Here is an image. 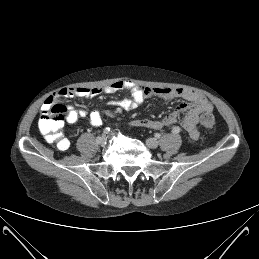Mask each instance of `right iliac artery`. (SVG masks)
I'll return each instance as SVG.
<instances>
[{"label":"right iliac artery","instance_id":"right-iliac-artery-1","mask_svg":"<svg viewBox=\"0 0 259 259\" xmlns=\"http://www.w3.org/2000/svg\"><path fill=\"white\" fill-rule=\"evenodd\" d=\"M94 139H95L96 142H98V141H100L101 138H100V136L97 135V136H95Z\"/></svg>","mask_w":259,"mask_h":259}]
</instances>
